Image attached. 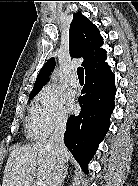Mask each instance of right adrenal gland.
Wrapping results in <instances>:
<instances>
[{"label":"right adrenal gland","mask_w":138,"mask_h":186,"mask_svg":"<svg viewBox=\"0 0 138 186\" xmlns=\"http://www.w3.org/2000/svg\"><path fill=\"white\" fill-rule=\"evenodd\" d=\"M67 172H68V166H66V168H65V171L63 173V176H62V179H61V182H60L59 186H62V184L64 182V179L66 178Z\"/></svg>","instance_id":"right-adrenal-gland-1"}]
</instances>
